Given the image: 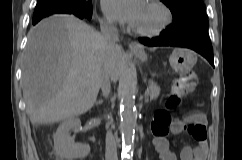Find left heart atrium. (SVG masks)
I'll use <instances>...</instances> for the list:
<instances>
[{
    "instance_id": "obj_1",
    "label": "left heart atrium",
    "mask_w": 242,
    "mask_h": 160,
    "mask_svg": "<svg viewBox=\"0 0 242 160\" xmlns=\"http://www.w3.org/2000/svg\"><path fill=\"white\" fill-rule=\"evenodd\" d=\"M145 0H102L104 12L113 20L135 25Z\"/></svg>"
}]
</instances>
